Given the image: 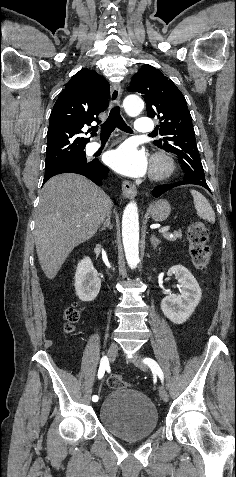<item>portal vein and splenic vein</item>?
I'll return each instance as SVG.
<instances>
[{
    "instance_id": "18ae733b",
    "label": "portal vein and splenic vein",
    "mask_w": 236,
    "mask_h": 477,
    "mask_svg": "<svg viewBox=\"0 0 236 477\" xmlns=\"http://www.w3.org/2000/svg\"><path fill=\"white\" fill-rule=\"evenodd\" d=\"M169 229H170V227H169V226H165V227H163V228L159 229V233H162V234H164V233L168 232V231H169Z\"/></svg>"
}]
</instances>
